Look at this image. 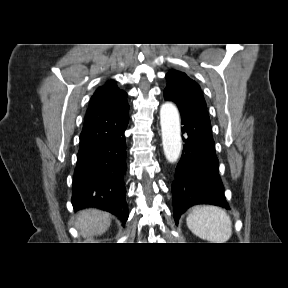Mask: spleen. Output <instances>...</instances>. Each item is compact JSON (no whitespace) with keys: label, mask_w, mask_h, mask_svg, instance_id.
Segmentation results:
<instances>
[{"label":"spleen","mask_w":288,"mask_h":288,"mask_svg":"<svg viewBox=\"0 0 288 288\" xmlns=\"http://www.w3.org/2000/svg\"><path fill=\"white\" fill-rule=\"evenodd\" d=\"M186 223L192 233L211 243H225L232 235L229 215L216 206L195 207L186 218Z\"/></svg>","instance_id":"1"}]
</instances>
